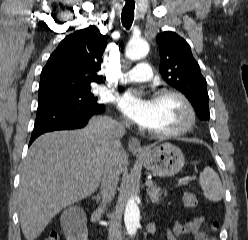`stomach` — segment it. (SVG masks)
<instances>
[{
    "label": "stomach",
    "instance_id": "0dacf381",
    "mask_svg": "<svg viewBox=\"0 0 248 240\" xmlns=\"http://www.w3.org/2000/svg\"><path fill=\"white\" fill-rule=\"evenodd\" d=\"M144 166L160 177L177 174L185 164L182 151L171 143H163L144 155H137Z\"/></svg>",
    "mask_w": 248,
    "mask_h": 240
}]
</instances>
